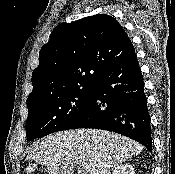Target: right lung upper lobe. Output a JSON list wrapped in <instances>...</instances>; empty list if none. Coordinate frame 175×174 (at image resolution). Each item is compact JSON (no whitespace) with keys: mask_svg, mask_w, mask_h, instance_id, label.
Wrapping results in <instances>:
<instances>
[{"mask_svg":"<svg viewBox=\"0 0 175 174\" xmlns=\"http://www.w3.org/2000/svg\"><path fill=\"white\" fill-rule=\"evenodd\" d=\"M135 55L123 27L98 14L59 24L39 54L27 106L61 92L95 85L113 66Z\"/></svg>","mask_w":175,"mask_h":174,"instance_id":"right-lung-upper-lobe-1","label":"right lung upper lobe"}]
</instances>
